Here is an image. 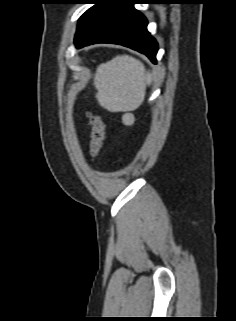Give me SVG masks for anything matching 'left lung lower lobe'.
<instances>
[{
	"label": "left lung lower lobe",
	"instance_id": "1",
	"mask_svg": "<svg viewBox=\"0 0 236 321\" xmlns=\"http://www.w3.org/2000/svg\"><path fill=\"white\" fill-rule=\"evenodd\" d=\"M142 0H93L84 14L74 44L77 48L95 44H119L145 54L156 63L158 44L147 30V20L134 8Z\"/></svg>",
	"mask_w": 236,
	"mask_h": 321
}]
</instances>
